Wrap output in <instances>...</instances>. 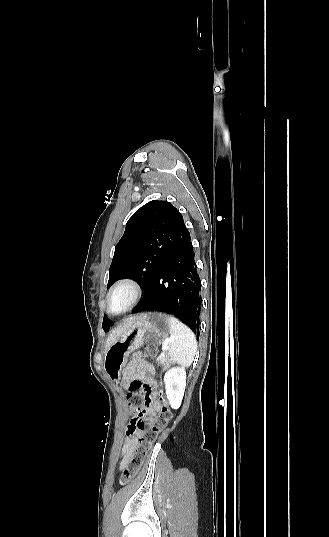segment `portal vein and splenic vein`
Returning <instances> with one entry per match:
<instances>
[{
	"label": "portal vein and splenic vein",
	"instance_id": "18ae733b",
	"mask_svg": "<svg viewBox=\"0 0 329 537\" xmlns=\"http://www.w3.org/2000/svg\"><path fill=\"white\" fill-rule=\"evenodd\" d=\"M168 348V341L164 342V344L162 345V350L165 351L167 350Z\"/></svg>",
	"mask_w": 329,
	"mask_h": 537
}]
</instances>
